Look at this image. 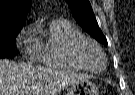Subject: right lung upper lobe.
Segmentation results:
<instances>
[{"mask_svg":"<svg viewBox=\"0 0 135 95\" xmlns=\"http://www.w3.org/2000/svg\"><path fill=\"white\" fill-rule=\"evenodd\" d=\"M32 0H0V36L21 31Z\"/></svg>","mask_w":135,"mask_h":95,"instance_id":"1","label":"right lung upper lobe"}]
</instances>
